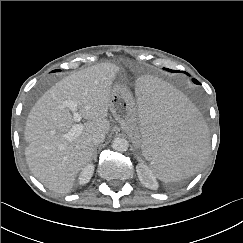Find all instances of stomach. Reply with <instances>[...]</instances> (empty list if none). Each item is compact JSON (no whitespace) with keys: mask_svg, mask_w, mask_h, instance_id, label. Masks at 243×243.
<instances>
[{"mask_svg":"<svg viewBox=\"0 0 243 243\" xmlns=\"http://www.w3.org/2000/svg\"><path fill=\"white\" fill-rule=\"evenodd\" d=\"M109 108L114 118L135 144L137 134L136 101L125 86L115 84L112 87Z\"/></svg>","mask_w":243,"mask_h":243,"instance_id":"stomach-1","label":"stomach"}]
</instances>
